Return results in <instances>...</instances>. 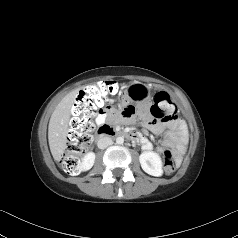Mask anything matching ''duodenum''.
I'll use <instances>...</instances> for the list:
<instances>
[{"instance_id":"duodenum-1","label":"duodenum","mask_w":238,"mask_h":238,"mask_svg":"<svg viewBox=\"0 0 238 238\" xmlns=\"http://www.w3.org/2000/svg\"><path fill=\"white\" fill-rule=\"evenodd\" d=\"M97 135L100 138L122 136V137H126L133 141L138 140V136L135 133L116 131L113 128L109 127L108 125H101L97 130Z\"/></svg>"}]
</instances>
